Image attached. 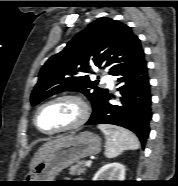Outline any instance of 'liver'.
Listing matches in <instances>:
<instances>
[{"mask_svg":"<svg viewBox=\"0 0 178 186\" xmlns=\"http://www.w3.org/2000/svg\"><path fill=\"white\" fill-rule=\"evenodd\" d=\"M70 135L68 136H59L54 140L48 141L43 144L38 151L35 153L33 159L30 162L29 168L32 170L40 161H42L46 155L52 151L54 148L61 145L64 141H66Z\"/></svg>","mask_w":178,"mask_h":186,"instance_id":"liver-1","label":"liver"}]
</instances>
